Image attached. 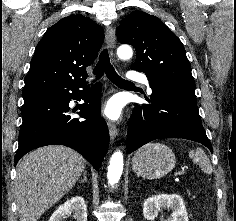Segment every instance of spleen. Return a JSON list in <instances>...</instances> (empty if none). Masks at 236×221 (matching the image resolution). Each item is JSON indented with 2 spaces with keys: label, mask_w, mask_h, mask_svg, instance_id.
<instances>
[{
  "label": "spleen",
  "mask_w": 236,
  "mask_h": 221,
  "mask_svg": "<svg viewBox=\"0 0 236 221\" xmlns=\"http://www.w3.org/2000/svg\"><path fill=\"white\" fill-rule=\"evenodd\" d=\"M189 157L193 160L194 163L199 164L204 173H212V166L210 160L201 148H198L196 150H190Z\"/></svg>",
  "instance_id": "obj_1"
}]
</instances>
